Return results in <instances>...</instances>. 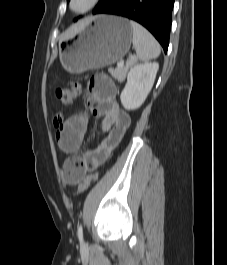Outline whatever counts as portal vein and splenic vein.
I'll list each match as a JSON object with an SVG mask.
<instances>
[{
  "label": "portal vein and splenic vein",
  "instance_id": "1",
  "mask_svg": "<svg viewBox=\"0 0 227 265\" xmlns=\"http://www.w3.org/2000/svg\"><path fill=\"white\" fill-rule=\"evenodd\" d=\"M123 65H124V62H123V61H119V62L117 63V67H123Z\"/></svg>",
  "mask_w": 227,
  "mask_h": 265
}]
</instances>
